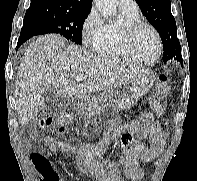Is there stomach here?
Listing matches in <instances>:
<instances>
[{"mask_svg":"<svg viewBox=\"0 0 197 181\" xmlns=\"http://www.w3.org/2000/svg\"><path fill=\"white\" fill-rule=\"evenodd\" d=\"M154 82L152 73L145 74L138 80L132 82L126 91L107 90L96 97H85L81 99L80 107L88 113L98 114L108 108L113 110H128L151 89Z\"/></svg>","mask_w":197,"mask_h":181,"instance_id":"obj_1","label":"stomach"}]
</instances>
